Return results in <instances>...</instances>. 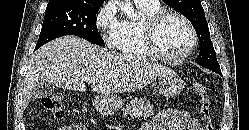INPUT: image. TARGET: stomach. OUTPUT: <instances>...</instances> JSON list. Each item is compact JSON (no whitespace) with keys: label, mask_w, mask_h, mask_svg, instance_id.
<instances>
[{"label":"stomach","mask_w":249,"mask_h":130,"mask_svg":"<svg viewBox=\"0 0 249 130\" xmlns=\"http://www.w3.org/2000/svg\"><path fill=\"white\" fill-rule=\"evenodd\" d=\"M159 93L165 97H174L184 88L183 80L174 72L164 74L158 79ZM124 105V100L116 96H98L96 109L103 114H111Z\"/></svg>","instance_id":"obj_1"}]
</instances>
